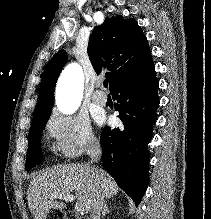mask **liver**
Returning a JSON list of instances; mask_svg holds the SVG:
<instances>
[{"label":"liver","instance_id":"obj_1","mask_svg":"<svg viewBox=\"0 0 211 219\" xmlns=\"http://www.w3.org/2000/svg\"><path fill=\"white\" fill-rule=\"evenodd\" d=\"M119 190L115 180L104 170L89 164L56 166L34 177L29 185L27 200L35 219H46L50 209H63V202L51 198L55 193L75 191L78 203L87 213L97 192L111 198Z\"/></svg>","mask_w":211,"mask_h":219}]
</instances>
